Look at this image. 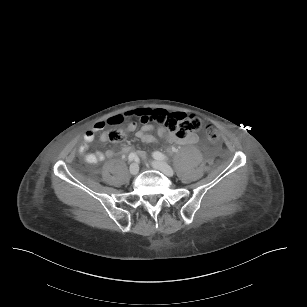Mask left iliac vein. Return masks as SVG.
Instances as JSON below:
<instances>
[{"mask_svg":"<svg viewBox=\"0 0 307 307\" xmlns=\"http://www.w3.org/2000/svg\"><path fill=\"white\" fill-rule=\"evenodd\" d=\"M152 166L165 175L172 176L174 174V170L166 162L155 160L152 162Z\"/></svg>","mask_w":307,"mask_h":307,"instance_id":"left-iliac-vein-1","label":"left iliac vein"}]
</instances>
